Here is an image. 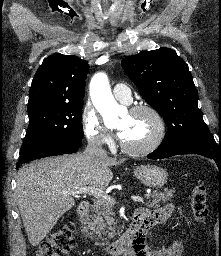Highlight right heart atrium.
<instances>
[{
	"instance_id": "d8ad5b80",
	"label": "right heart atrium",
	"mask_w": 221,
	"mask_h": 256,
	"mask_svg": "<svg viewBox=\"0 0 221 256\" xmlns=\"http://www.w3.org/2000/svg\"><path fill=\"white\" fill-rule=\"evenodd\" d=\"M81 123L89 144L95 147H105L111 144V135L91 104L85 105L81 116Z\"/></svg>"
}]
</instances>
